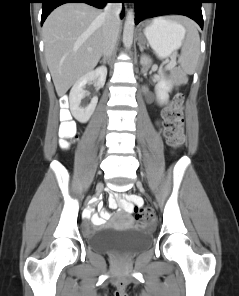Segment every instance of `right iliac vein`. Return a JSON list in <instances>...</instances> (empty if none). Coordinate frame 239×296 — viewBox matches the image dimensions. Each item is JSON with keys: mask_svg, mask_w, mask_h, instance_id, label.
Here are the masks:
<instances>
[{"mask_svg": "<svg viewBox=\"0 0 239 296\" xmlns=\"http://www.w3.org/2000/svg\"><path fill=\"white\" fill-rule=\"evenodd\" d=\"M98 188H100L101 187V184H98V186H97Z\"/></svg>", "mask_w": 239, "mask_h": 296, "instance_id": "63e3f726", "label": "right iliac vein"}]
</instances>
